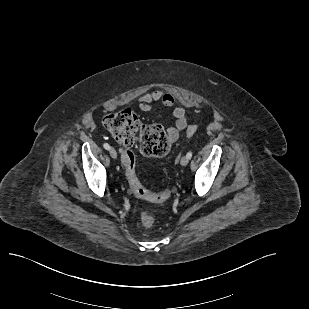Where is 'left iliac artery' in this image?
I'll list each match as a JSON object with an SVG mask.
<instances>
[{
  "label": "left iliac artery",
  "instance_id": "left-iliac-artery-1",
  "mask_svg": "<svg viewBox=\"0 0 309 309\" xmlns=\"http://www.w3.org/2000/svg\"><path fill=\"white\" fill-rule=\"evenodd\" d=\"M186 156L188 157V159H191L192 158V152L189 151Z\"/></svg>",
  "mask_w": 309,
  "mask_h": 309
}]
</instances>
